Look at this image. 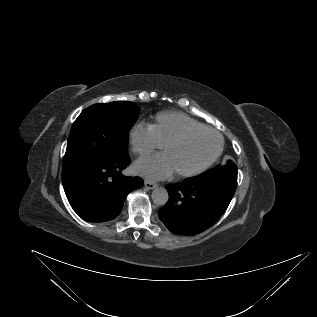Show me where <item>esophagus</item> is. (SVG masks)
Listing matches in <instances>:
<instances>
[{
  "label": "esophagus",
  "instance_id": "1",
  "mask_svg": "<svg viewBox=\"0 0 317 317\" xmlns=\"http://www.w3.org/2000/svg\"><path fill=\"white\" fill-rule=\"evenodd\" d=\"M144 185L147 189H154L157 187L156 183L148 181V180L144 182Z\"/></svg>",
  "mask_w": 317,
  "mask_h": 317
}]
</instances>
